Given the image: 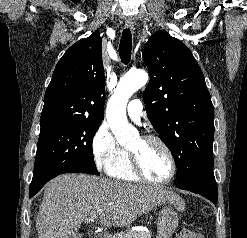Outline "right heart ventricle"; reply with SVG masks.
I'll use <instances>...</instances> for the list:
<instances>
[{
	"label": "right heart ventricle",
	"instance_id": "e07e8e85",
	"mask_svg": "<svg viewBox=\"0 0 247 238\" xmlns=\"http://www.w3.org/2000/svg\"><path fill=\"white\" fill-rule=\"evenodd\" d=\"M108 175L114 179L135 182L138 180V177L134 173L129 153L124 150L121 158L109 169L107 172Z\"/></svg>",
	"mask_w": 247,
	"mask_h": 238
}]
</instances>
